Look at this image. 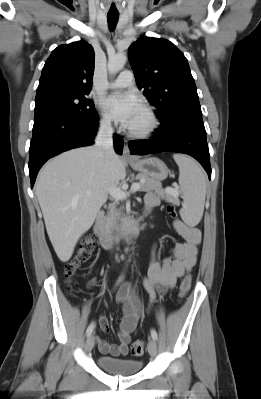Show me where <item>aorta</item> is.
Instances as JSON below:
<instances>
[{"mask_svg":"<svg viewBox=\"0 0 261 399\" xmlns=\"http://www.w3.org/2000/svg\"><path fill=\"white\" fill-rule=\"evenodd\" d=\"M126 61H127V56L123 53L109 57L107 65L108 72L110 74L118 73L120 70L123 69Z\"/></svg>","mask_w":261,"mask_h":399,"instance_id":"obj_1","label":"aorta"}]
</instances>
